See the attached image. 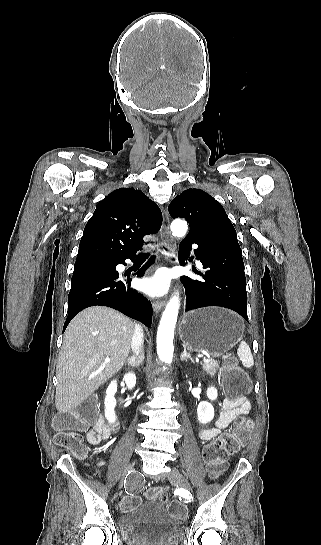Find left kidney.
<instances>
[{
    "mask_svg": "<svg viewBox=\"0 0 321 545\" xmlns=\"http://www.w3.org/2000/svg\"><path fill=\"white\" fill-rule=\"evenodd\" d=\"M206 395L210 401H215L218 397L217 389H215V387H209L206 391ZM197 415L199 423H204V425L205 423H210L215 415L213 405L207 403V401H202V403H199L198 405Z\"/></svg>",
    "mask_w": 321,
    "mask_h": 545,
    "instance_id": "1",
    "label": "left kidney"
}]
</instances>
